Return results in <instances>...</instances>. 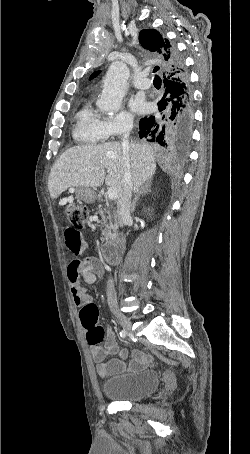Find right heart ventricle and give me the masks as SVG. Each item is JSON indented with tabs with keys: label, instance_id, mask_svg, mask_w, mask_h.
Returning <instances> with one entry per match:
<instances>
[{
	"label": "right heart ventricle",
	"instance_id": "1",
	"mask_svg": "<svg viewBox=\"0 0 250 454\" xmlns=\"http://www.w3.org/2000/svg\"><path fill=\"white\" fill-rule=\"evenodd\" d=\"M103 121L91 105L86 104L76 115L72 132L74 140L86 145H96L103 142L107 137Z\"/></svg>",
	"mask_w": 250,
	"mask_h": 454
}]
</instances>
